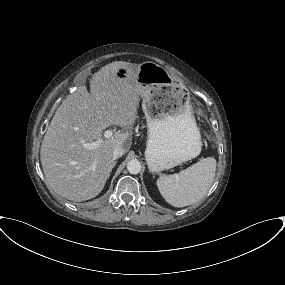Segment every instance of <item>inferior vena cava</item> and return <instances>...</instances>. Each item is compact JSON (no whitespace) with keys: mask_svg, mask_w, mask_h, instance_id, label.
Wrapping results in <instances>:
<instances>
[{"mask_svg":"<svg viewBox=\"0 0 285 285\" xmlns=\"http://www.w3.org/2000/svg\"><path fill=\"white\" fill-rule=\"evenodd\" d=\"M125 151L122 147H116L113 151L114 159L120 158L124 155Z\"/></svg>","mask_w":285,"mask_h":285,"instance_id":"obj_1","label":"inferior vena cava"}]
</instances>
